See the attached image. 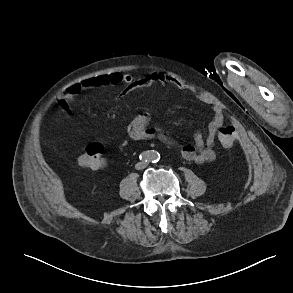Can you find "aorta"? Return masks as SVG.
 I'll list each match as a JSON object with an SVG mask.
<instances>
[{
  "instance_id": "aorta-1",
  "label": "aorta",
  "mask_w": 293,
  "mask_h": 293,
  "mask_svg": "<svg viewBox=\"0 0 293 293\" xmlns=\"http://www.w3.org/2000/svg\"><path fill=\"white\" fill-rule=\"evenodd\" d=\"M158 157H159V154H158V152H156V151H152V152H150V154H149V159H150L151 161H156V160L158 159Z\"/></svg>"
}]
</instances>
